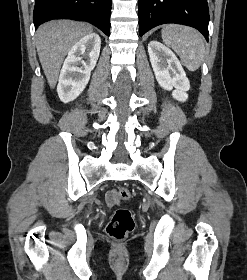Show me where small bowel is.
Returning <instances> with one entry per match:
<instances>
[{"mask_svg":"<svg viewBox=\"0 0 247 280\" xmlns=\"http://www.w3.org/2000/svg\"><path fill=\"white\" fill-rule=\"evenodd\" d=\"M106 202L108 205H114L117 201L114 198V190L107 192L106 194Z\"/></svg>","mask_w":247,"mask_h":280,"instance_id":"1","label":"small bowel"}]
</instances>
